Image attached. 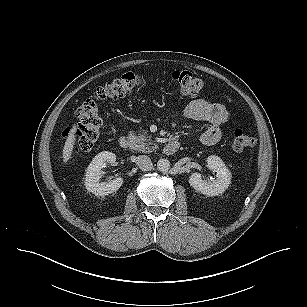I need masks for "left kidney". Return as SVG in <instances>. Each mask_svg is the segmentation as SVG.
<instances>
[{
	"instance_id": "obj_1",
	"label": "left kidney",
	"mask_w": 307,
	"mask_h": 307,
	"mask_svg": "<svg viewBox=\"0 0 307 307\" xmlns=\"http://www.w3.org/2000/svg\"><path fill=\"white\" fill-rule=\"evenodd\" d=\"M207 166L216 172L217 179L206 181L201 178L200 173H193L189 177V184L197 191L206 196H216L222 194L231 184V172L224 162L215 155L207 158Z\"/></svg>"
}]
</instances>
